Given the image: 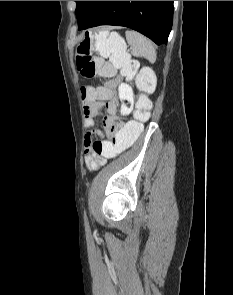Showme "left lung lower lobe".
Here are the masks:
<instances>
[{"mask_svg": "<svg viewBox=\"0 0 233 295\" xmlns=\"http://www.w3.org/2000/svg\"><path fill=\"white\" fill-rule=\"evenodd\" d=\"M173 22V1H99L82 29L99 25L132 28L156 44H167Z\"/></svg>", "mask_w": 233, "mask_h": 295, "instance_id": "obj_1", "label": "left lung lower lobe"}]
</instances>
